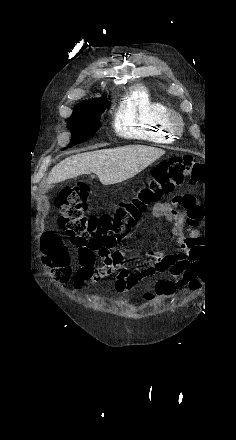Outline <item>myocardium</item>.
<instances>
[{
  "label": "myocardium",
  "instance_id": "obj_1",
  "mask_svg": "<svg viewBox=\"0 0 236 440\" xmlns=\"http://www.w3.org/2000/svg\"><path fill=\"white\" fill-rule=\"evenodd\" d=\"M166 121L173 132H179L183 127L182 116L174 110H169Z\"/></svg>",
  "mask_w": 236,
  "mask_h": 440
}]
</instances>
